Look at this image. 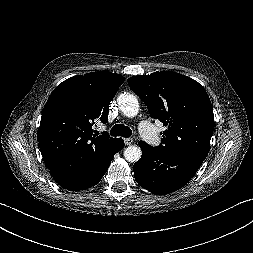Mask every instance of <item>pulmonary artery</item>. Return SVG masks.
I'll return each mask as SVG.
<instances>
[{"label":"pulmonary artery","mask_w":253,"mask_h":253,"mask_svg":"<svg viewBox=\"0 0 253 253\" xmlns=\"http://www.w3.org/2000/svg\"><path fill=\"white\" fill-rule=\"evenodd\" d=\"M138 131L148 141H153L156 137L153 127L146 121L139 123Z\"/></svg>","instance_id":"e3ab8cb5"}]
</instances>
